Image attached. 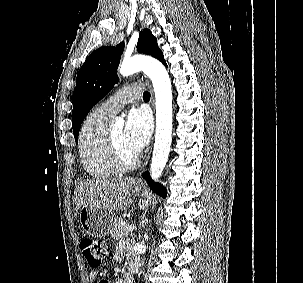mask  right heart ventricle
Listing matches in <instances>:
<instances>
[{"label":"right heart ventricle","mask_w":303,"mask_h":283,"mask_svg":"<svg viewBox=\"0 0 303 283\" xmlns=\"http://www.w3.org/2000/svg\"><path fill=\"white\" fill-rule=\"evenodd\" d=\"M111 117L94 109L83 122L79 134V155L85 172L101 180L116 174L106 148L107 123Z\"/></svg>","instance_id":"obj_1"}]
</instances>
